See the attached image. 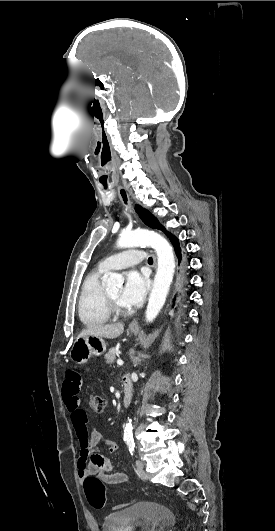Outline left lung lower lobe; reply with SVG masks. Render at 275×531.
Here are the masks:
<instances>
[{"mask_svg": "<svg viewBox=\"0 0 275 531\" xmlns=\"http://www.w3.org/2000/svg\"><path fill=\"white\" fill-rule=\"evenodd\" d=\"M163 232H165L167 237L170 239L172 245L174 246L175 253L178 258V265H180L181 267V277H180V280L177 286L176 294L174 295L172 299V304H171V309L174 311V313H177L185 296V289L187 285V279L185 277V272L188 267V260L186 258L185 252L180 247L178 238L172 235L171 233H169L166 229Z\"/></svg>", "mask_w": 275, "mask_h": 531, "instance_id": "1", "label": "left lung lower lobe"}]
</instances>
